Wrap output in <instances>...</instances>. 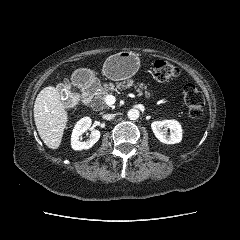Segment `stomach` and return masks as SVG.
Wrapping results in <instances>:
<instances>
[{"label": "stomach", "instance_id": "obj_1", "mask_svg": "<svg viewBox=\"0 0 240 240\" xmlns=\"http://www.w3.org/2000/svg\"><path fill=\"white\" fill-rule=\"evenodd\" d=\"M140 67L138 56L131 51H121L110 56L104 63L103 74L114 81L124 80L132 77ZM77 72L91 78L93 73L87 69H80Z\"/></svg>", "mask_w": 240, "mask_h": 240}]
</instances>
